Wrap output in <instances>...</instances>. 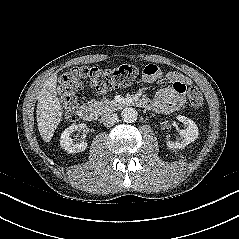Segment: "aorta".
Masks as SVG:
<instances>
[{"label": "aorta", "instance_id": "762f6f07", "mask_svg": "<svg viewBox=\"0 0 239 239\" xmlns=\"http://www.w3.org/2000/svg\"><path fill=\"white\" fill-rule=\"evenodd\" d=\"M138 113L135 108L126 107L121 111L122 120L126 123H134L137 120Z\"/></svg>", "mask_w": 239, "mask_h": 239}]
</instances>
